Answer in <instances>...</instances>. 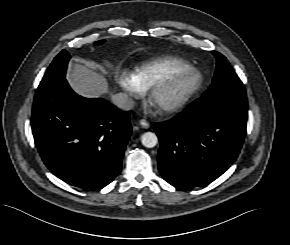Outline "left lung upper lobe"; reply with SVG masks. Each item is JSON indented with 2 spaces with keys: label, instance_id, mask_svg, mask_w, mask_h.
Here are the masks:
<instances>
[{
  "label": "left lung upper lobe",
  "instance_id": "obj_1",
  "mask_svg": "<svg viewBox=\"0 0 290 245\" xmlns=\"http://www.w3.org/2000/svg\"><path fill=\"white\" fill-rule=\"evenodd\" d=\"M212 53L216 57L217 66L212 84L207 92L226 86L243 85L227 59L219 52L213 51Z\"/></svg>",
  "mask_w": 290,
  "mask_h": 245
}]
</instances>
